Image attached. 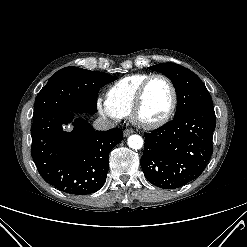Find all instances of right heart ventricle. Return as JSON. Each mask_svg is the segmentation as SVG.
<instances>
[{"label":"right heart ventricle","instance_id":"obj_1","mask_svg":"<svg viewBox=\"0 0 247 247\" xmlns=\"http://www.w3.org/2000/svg\"><path fill=\"white\" fill-rule=\"evenodd\" d=\"M150 75L149 73L131 74L110 86L106 100L121 117L130 115L135 95L142 82Z\"/></svg>","mask_w":247,"mask_h":247}]
</instances>
